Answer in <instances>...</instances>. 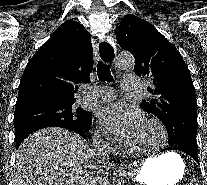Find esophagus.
<instances>
[{
  "label": "esophagus",
  "instance_id": "1",
  "mask_svg": "<svg viewBox=\"0 0 207 185\" xmlns=\"http://www.w3.org/2000/svg\"><path fill=\"white\" fill-rule=\"evenodd\" d=\"M102 37H105V34H102ZM105 42V41H103ZM114 43H100V48H114ZM99 48L98 43L94 45V52L98 54ZM101 55H112V56H101V61H115L116 50H101ZM108 66H112V63H108ZM125 169V164L123 160H116L115 173H122V170Z\"/></svg>",
  "mask_w": 207,
  "mask_h": 185
}]
</instances>
